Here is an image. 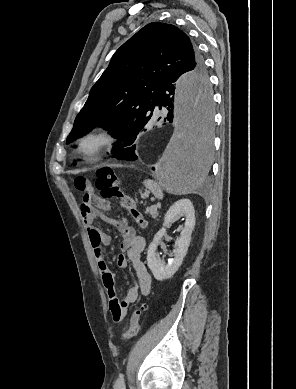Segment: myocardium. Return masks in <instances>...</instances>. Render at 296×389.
Masks as SVG:
<instances>
[{
  "instance_id": "myocardium-1",
  "label": "myocardium",
  "mask_w": 296,
  "mask_h": 389,
  "mask_svg": "<svg viewBox=\"0 0 296 389\" xmlns=\"http://www.w3.org/2000/svg\"><path fill=\"white\" fill-rule=\"evenodd\" d=\"M113 142L112 132L104 126H98L87 131L80 138L78 150L87 161H95Z\"/></svg>"
}]
</instances>
